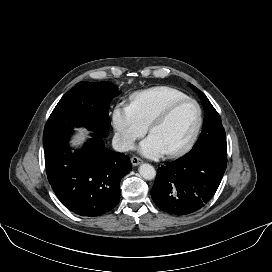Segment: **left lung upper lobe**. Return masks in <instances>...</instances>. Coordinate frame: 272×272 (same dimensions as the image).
<instances>
[{
  "label": "left lung upper lobe",
  "instance_id": "obj_1",
  "mask_svg": "<svg viewBox=\"0 0 272 272\" xmlns=\"http://www.w3.org/2000/svg\"><path fill=\"white\" fill-rule=\"evenodd\" d=\"M190 87L196 91L199 98L202 100V105L205 110L202 132L192 149H210L214 152L227 154L226 134L222 126L219 114L216 112L215 108L212 106L203 92H201L192 84H190Z\"/></svg>",
  "mask_w": 272,
  "mask_h": 272
}]
</instances>
